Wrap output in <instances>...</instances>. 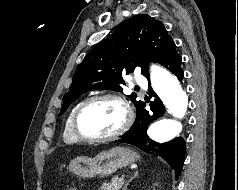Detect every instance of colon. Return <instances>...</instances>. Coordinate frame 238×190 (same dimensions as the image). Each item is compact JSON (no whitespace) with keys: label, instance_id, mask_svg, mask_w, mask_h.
I'll return each mask as SVG.
<instances>
[{"label":"colon","instance_id":"obj_1","mask_svg":"<svg viewBox=\"0 0 238 190\" xmlns=\"http://www.w3.org/2000/svg\"><path fill=\"white\" fill-rule=\"evenodd\" d=\"M67 190H77L75 187H69Z\"/></svg>","mask_w":238,"mask_h":190}]
</instances>
